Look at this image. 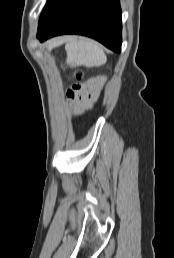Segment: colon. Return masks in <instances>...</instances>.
I'll return each instance as SVG.
<instances>
[{
	"mask_svg": "<svg viewBox=\"0 0 174 258\" xmlns=\"http://www.w3.org/2000/svg\"><path fill=\"white\" fill-rule=\"evenodd\" d=\"M72 78L76 81L69 90V94L72 96H75L79 94L82 90L83 83H81V80L83 78V73L82 71H75L72 75Z\"/></svg>",
	"mask_w": 174,
	"mask_h": 258,
	"instance_id": "1",
	"label": "colon"
}]
</instances>
